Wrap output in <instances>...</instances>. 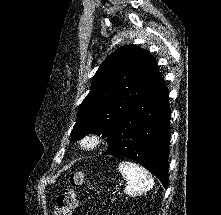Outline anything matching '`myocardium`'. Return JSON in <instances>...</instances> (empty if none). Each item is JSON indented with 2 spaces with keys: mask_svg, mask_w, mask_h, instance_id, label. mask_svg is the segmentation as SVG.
<instances>
[{
  "mask_svg": "<svg viewBox=\"0 0 221 215\" xmlns=\"http://www.w3.org/2000/svg\"><path fill=\"white\" fill-rule=\"evenodd\" d=\"M102 142V138L95 132L85 134L79 141L80 147L85 151L97 149Z\"/></svg>",
  "mask_w": 221,
  "mask_h": 215,
  "instance_id": "myocardium-1",
  "label": "myocardium"
}]
</instances>
